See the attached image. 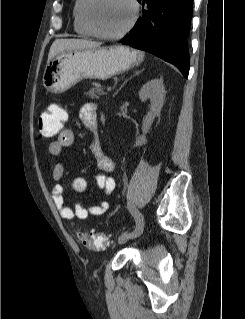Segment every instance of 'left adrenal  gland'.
Listing matches in <instances>:
<instances>
[{"instance_id": "1", "label": "left adrenal gland", "mask_w": 245, "mask_h": 319, "mask_svg": "<svg viewBox=\"0 0 245 319\" xmlns=\"http://www.w3.org/2000/svg\"><path fill=\"white\" fill-rule=\"evenodd\" d=\"M143 71H135L134 75H132L129 79L125 80L124 83L120 86V88L115 92V95L119 92V90L125 85V83H127V81H129L130 79H132L134 76L139 75V73H141Z\"/></svg>"}]
</instances>
